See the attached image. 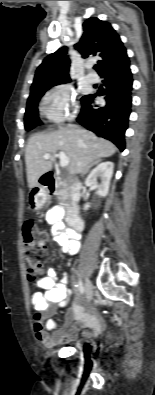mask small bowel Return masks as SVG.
<instances>
[{
	"instance_id": "c3829d8e",
	"label": "small bowel",
	"mask_w": 155,
	"mask_h": 395,
	"mask_svg": "<svg viewBox=\"0 0 155 395\" xmlns=\"http://www.w3.org/2000/svg\"><path fill=\"white\" fill-rule=\"evenodd\" d=\"M62 209L58 206L51 207L46 212V221L52 226L54 240L61 247L63 252L76 255L80 250V235L71 229H66L62 223ZM68 277L63 275L58 281L56 273L50 269L41 279H35L32 287V305L34 314L32 318V328L35 337L46 347L52 348L74 340L79 330L87 328L82 336L91 338L100 331L101 324L95 314L88 313L78 303H74L65 316V323L75 321V324L66 331L57 330L56 323L50 319V315L55 311V306L64 307L71 291L67 286Z\"/></svg>"
}]
</instances>
